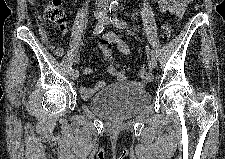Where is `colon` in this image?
Masks as SVG:
<instances>
[{"mask_svg": "<svg viewBox=\"0 0 225 159\" xmlns=\"http://www.w3.org/2000/svg\"><path fill=\"white\" fill-rule=\"evenodd\" d=\"M45 20L53 26L63 29L65 23V10L61 0H51L45 9ZM162 31L165 37H170L172 34V28L169 24H165L162 27ZM104 58L109 61L113 70L117 71V66L112 60L111 47H104L102 49ZM139 78L144 81L151 80V73L147 66H143L138 72Z\"/></svg>", "mask_w": 225, "mask_h": 159, "instance_id": "colon-1", "label": "colon"}]
</instances>
